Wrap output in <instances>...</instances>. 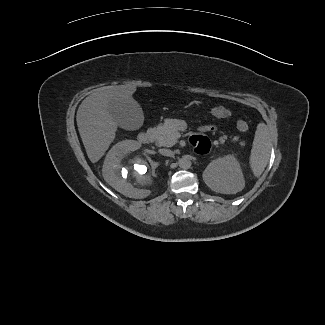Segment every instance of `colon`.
<instances>
[{
	"instance_id": "1",
	"label": "colon",
	"mask_w": 325,
	"mask_h": 325,
	"mask_svg": "<svg viewBox=\"0 0 325 325\" xmlns=\"http://www.w3.org/2000/svg\"><path fill=\"white\" fill-rule=\"evenodd\" d=\"M209 113L216 118H229L232 115V112L229 109L222 106H216L210 108ZM236 126L237 129L243 133L248 132L249 130L248 123L243 119H237Z\"/></svg>"
}]
</instances>
